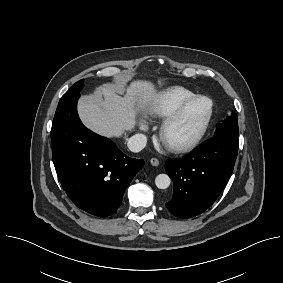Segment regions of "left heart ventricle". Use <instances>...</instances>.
Returning a JSON list of instances; mask_svg holds the SVG:
<instances>
[{
	"mask_svg": "<svg viewBox=\"0 0 283 283\" xmlns=\"http://www.w3.org/2000/svg\"><path fill=\"white\" fill-rule=\"evenodd\" d=\"M209 108L210 102L206 99L195 102L170 132L169 140L171 142H178L195 135L201 128Z\"/></svg>",
	"mask_w": 283,
	"mask_h": 283,
	"instance_id": "1",
	"label": "left heart ventricle"
}]
</instances>
